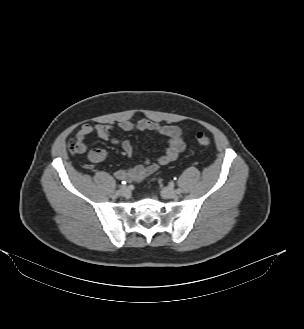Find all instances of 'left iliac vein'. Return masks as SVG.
Wrapping results in <instances>:
<instances>
[{
	"label": "left iliac vein",
	"mask_w": 304,
	"mask_h": 329,
	"mask_svg": "<svg viewBox=\"0 0 304 329\" xmlns=\"http://www.w3.org/2000/svg\"><path fill=\"white\" fill-rule=\"evenodd\" d=\"M161 195L165 199H175L178 197V193L175 189L170 187H164L161 190Z\"/></svg>",
	"instance_id": "4c4485c4"
}]
</instances>
